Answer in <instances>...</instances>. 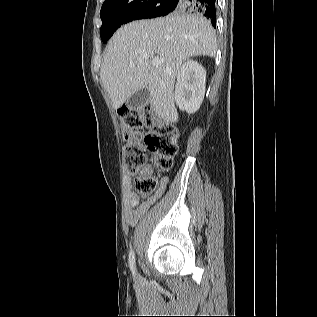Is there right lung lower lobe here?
<instances>
[{"instance_id":"obj_1","label":"right lung lower lobe","mask_w":317,"mask_h":317,"mask_svg":"<svg viewBox=\"0 0 317 317\" xmlns=\"http://www.w3.org/2000/svg\"><path fill=\"white\" fill-rule=\"evenodd\" d=\"M216 0H173L171 5L181 6L183 10L199 12L211 20L216 27Z\"/></svg>"}]
</instances>
